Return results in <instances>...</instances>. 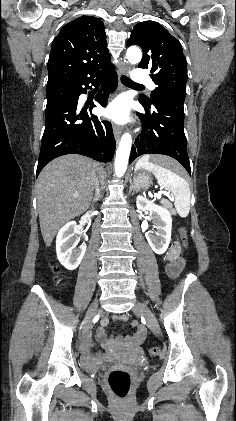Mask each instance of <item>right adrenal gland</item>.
Masks as SVG:
<instances>
[{
    "mask_svg": "<svg viewBox=\"0 0 236 421\" xmlns=\"http://www.w3.org/2000/svg\"><path fill=\"white\" fill-rule=\"evenodd\" d=\"M97 198H101V188H99V192H98ZM97 198H94V200H97Z\"/></svg>",
    "mask_w": 236,
    "mask_h": 421,
    "instance_id": "obj_1",
    "label": "right adrenal gland"
}]
</instances>
